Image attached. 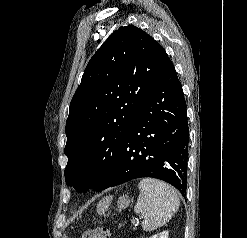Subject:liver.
Instances as JSON below:
<instances>
[{"instance_id": "obj_1", "label": "liver", "mask_w": 247, "mask_h": 238, "mask_svg": "<svg viewBox=\"0 0 247 238\" xmlns=\"http://www.w3.org/2000/svg\"><path fill=\"white\" fill-rule=\"evenodd\" d=\"M108 201H109V198L102 199V201H100V203L97 205V211L101 212L103 208L107 205Z\"/></svg>"}]
</instances>
